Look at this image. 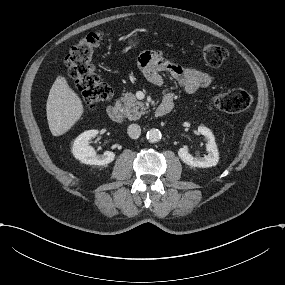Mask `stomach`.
<instances>
[{
  "instance_id": "0dacf381",
  "label": "stomach",
  "mask_w": 285,
  "mask_h": 285,
  "mask_svg": "<svg viewBox=\"0 0 285 285\" xmlns=\"http://www.w3.org/2000/svg\"><path fill=\"white\" fill-rule=\"evenodd\" d=\"M126 44L132 49H137L141 44V38L137 33H132L124 38Z\"/></svg>"
}]
</instances>
